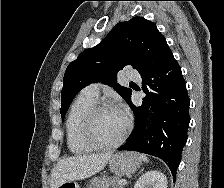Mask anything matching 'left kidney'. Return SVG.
Wrapping results in <instances>:
<instances>
[{
    "instance_id": "left-kidney-1",
    "label": "left kidney",
    "mask_w": 224,
    "mask_h": 188,
    "mask_svg": "<svg viewBox=\"0 0 224 188\" xmlns=\"http://www.w3.org/2000/svg\"><path fill=\"white\" fill-rule=\"evenodd\" d=\"M134 188H167V178L161 171H148L139 177Z\"/></svg>"
}]
</instances>
